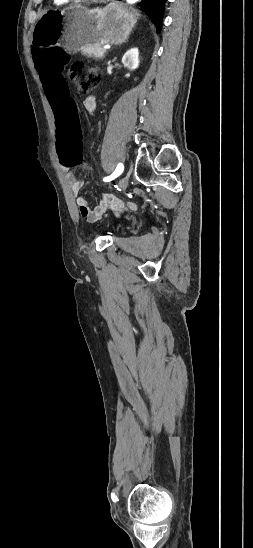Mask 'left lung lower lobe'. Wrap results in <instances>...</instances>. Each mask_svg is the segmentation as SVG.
Listing matches in <instances>:
<instances>
[{
    "instance_id": "obj_1",
    "label": "left lung lower lobe",
    "mask_w": 253,
    "mask_h": 548,
    "mask_svg": "<svg viewBox=\"0 0 253 548\" xmlns=\"http://www.w3.org/2000/svg\"><path fill=\"white\" fill-rule=\"evenodd\" d=\"M167 0H143L140 6L152 13L155 25L160 28L163 18L164 4Z\"/></svg>"
}]
</instances>
